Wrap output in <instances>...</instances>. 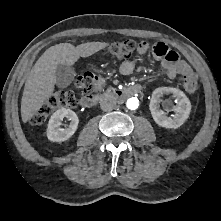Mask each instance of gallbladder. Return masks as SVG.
Returning <instances> with one entry per match:
<instances>
[{"label": "gallbladder", "instance_id": "gallbladder-1", "mask_svg": "<svg viewBox=\"0 0 221 221\" xmlns=\"http://www.w3.org/2000/svg\"><path fill=\"white\" fill-rule=\"evenodd\" d=\"M76 72L72 66L58 64L56 68V85L58 87H67L75 78Z\"/></svg>", "mask_w": 221, "mask_h": 221}]
</instances>
